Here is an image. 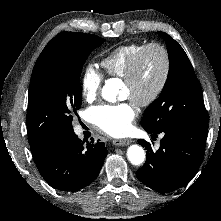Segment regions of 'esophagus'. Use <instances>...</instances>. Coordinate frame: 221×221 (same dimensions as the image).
<instances>
[{"label": "esophagus", "mask_w": 221, "mask_h": 221, "mask_svg": "<svg viewBox=\"0 0 221 221\" xmlns=\"http://www.w3.org/2000/svg\"><path fill=\"white\" fill-rule=\"evenodd\" d=\"M131 143V140L129 139H114L113 145L115 146H127Z\"/></svg>", "instance_id": "esophagus-1"}]
</instances>
